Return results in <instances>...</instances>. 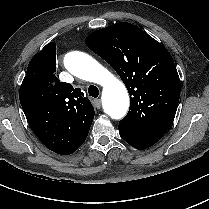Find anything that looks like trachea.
I'll return each mask as SVG.
<instances>
[{"label":"trachea","instance_id":"trachea-1","mask_svg":"<svg viewBox=\"0 0 209 209\" xmlns=\"http://www.w3.org/2000/svg\"><path fill=\"white\" fill-rule=\"evenodd\" d=\"M88 94L94 98H97L99 96V90L96 86L91 85L88 88Z\"/></svg>","mask_w":209,"mask_h":209}]
</instances>
